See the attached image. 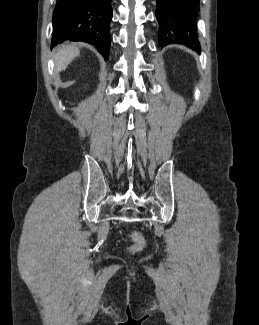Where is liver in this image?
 I'll use <instances>...</instances> for the list:
<instances>
[{
  "label": "liver",
  "mask_w": 259,
  "mask_h": 325,
  "mask_svg": "<svg viewBox=\"0 0 259 325\" xmlns=\"http://www.w3.org/2000/svg\"><path fill=\"white\" fill-rule=\"evenodd\" d=\"M80 51L75 45H62L56 49L54 54L55 71L61 72L67 68V66L78 57Z\"/></svg>",
  "instance_id": "liver-1"
}]
</instances>
